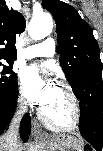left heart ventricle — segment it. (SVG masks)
Returning <instances> with one entry per match:
<instances>
[{"instance_id": "left-heart-ventricle-1", "label": "left heart ventricle", "mask_w": 103, "mask_h": 151, "mask_svg": "<svg viewBox=\"0 0 103 151\" xmlns=\"http://www.w3.org/2000/svg\"><path fill=\"white\" fill-rule=\"evenodd\" d=\"M47 117L57 124H66L71 120L72 109L67 94L56 87L53 98L44 109Z\"/></svg>"}]
</instances>
